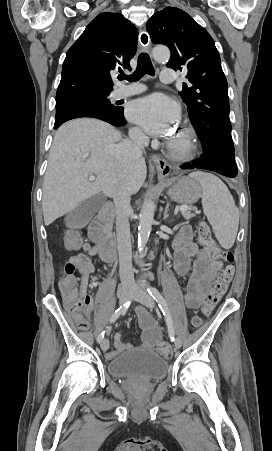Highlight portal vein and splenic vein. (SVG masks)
<instances>
[{"label":"portal vein and splenic vein","instance_id":"portal-vein-and-splenic-vein-1","mask_svg":"<svg viewBox=\"0 0 272 451\" xmlns=\"http://www.w3.org/2000/svg\"><path fill=\"white\" fill-rule=\"evenodd\" d=\"M89 180L90 182H93V180H95V176H92V174H90ZM179 210L180 212H187L188 206H180Z\"/></svg>","mask_w":272,"mask_h":451}]
</instances>
